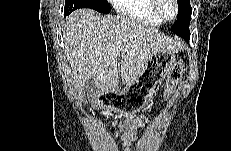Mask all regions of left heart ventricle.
I'll return each instance as SVG.
<instances>
[{
  "label": "left heart ventricle",
  "mask_w": 231,
  "mask_h": 151,
  "mask_svg": "<svg viewBox=\"0 0 231 151\" xmlns=\"http://www.w3.org/2000/svg\"><path fill=\"white\" fill-rule=\"evenodd\" d=\"M162 14L165 16V17H171L174 13V9H173V6L171 4V2L169 0H164L163 1V5H162Z\"/></svg>",
  "instance_id": "left-heart-ventricle-1"
}]
</instances>
